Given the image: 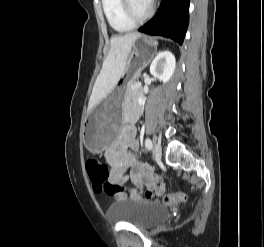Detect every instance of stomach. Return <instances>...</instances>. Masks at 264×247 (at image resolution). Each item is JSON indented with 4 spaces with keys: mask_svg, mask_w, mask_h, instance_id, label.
<instances>
[{
    "mask_svg": "<svg viewBox=\"0 0 264 247\" xmlns=\"http://www.w3.org/2000/svg\"><path fill=\"white\" fill-rule=\"evenodd\" d=\"M149 41L133 44L127 64L125 79L112 91L107 99L98 101V106L85 118L83 140L86 148L93 153L104 151L117 137L122 123V110L130 81L137 78L143 68H147L152 48Z\"/></svg>",
    "mask_w": 264,
    "mask_h": 247,
    "instance_id": "obj_1",
    "label": "stomach"
}]
</instances>
